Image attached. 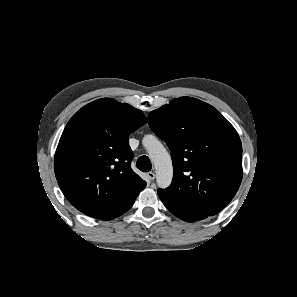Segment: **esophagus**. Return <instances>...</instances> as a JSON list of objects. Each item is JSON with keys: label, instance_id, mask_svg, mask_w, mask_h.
Here are the masks:
<instances>
[{"label": "esophagus", "instance_id": "esophagus-1", "mask_svg": "<svg viewBox=\"0 0 297 297\" xmlns=\"http://www.w3.org/2000/svg\"><path fill=\"white\" fill-rule=\"evenodd\" d=\"M147 177L150 181L154 180L155 179V174L154 172H148L147 173Z\"/></svg>", "mask_w": 297, "mask_h": 297}]
</instances>
